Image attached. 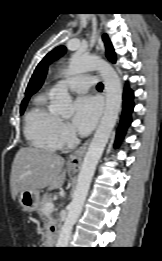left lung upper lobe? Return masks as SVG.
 Segmentation results:
<instances>
[{"instance_id":"5c2ea615","label":"left lung upper lobe","mask_w":162,"mask_h":261,"mask_svg":"<svg viewBox=\"0 0 162 261\" xmlns=\"http://www.w3.org/2000/svg\"><path fill=\"white\" fill-rule=\"evenodd\" d=\"M103 41L106 46V57L113 63L116 61V55L112 46V43L108 36L106 34L103 35ZM66 51V48L64 46H59L52 50L50 53H48L43 60L38 64L36 67L34 74L32 75V78L28 84L27 89H29L35 82L37 76L41 72V70L49 63L57 59L58 57L62 56Z\"/></svg>"}]
</instances>
